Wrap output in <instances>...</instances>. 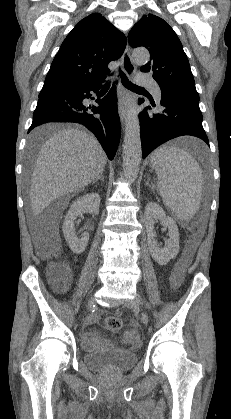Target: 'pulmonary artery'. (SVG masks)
<instances>
[{"label":"pulmonary artery","instance_id":"obj_1","mask_svg":"<svg viewBox=\"0 0 231 419\" xmlns=\"http://www.w3.org/2000/svg\"><path fill=\"white\" fill-rule=\"evenodd\" d=\"M139 83L143 86L150 88L153 92V95L157 101L161 100L162 93L158 83L151 77L142 75L139 77Z\"/></svg>","mask_w":231,"mask_h":419}]
</instances>
